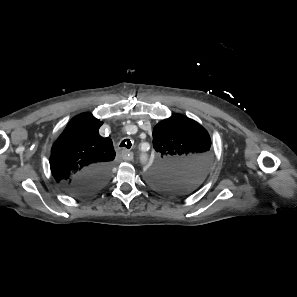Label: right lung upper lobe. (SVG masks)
Here are the masks:
<instances>
[{"label": "right lung upper lobe", "instance_id": "cb5924a9", "mask_svg": "<svg viewBox=\"0 0 297 297\" xmlns=\"http://www.w3.org/2000/svg\"><path fill=\"white\" fill-rule=\"evenodd\" d=\"M102 122L90 113L74 117L52 147L51 172L57 182L69 186L80 172L96 166L110 165L115 158L112 140L99 135Z\"/></svg>", "mask_w": 297, "mask_h": 297}]
</instances>
